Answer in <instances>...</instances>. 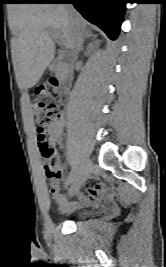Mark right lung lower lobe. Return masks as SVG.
Masks as SVG:
<instances>
[{
	"instance_id": "1",
	"label": "right lung lower lobe",
	"mask_w": 166,
	"mask_h": 267,
	"mask_svg": "<svg viewBox=\"0 0 166 267\" xmlns=\"http://www.w3.org/2000/svg\"><path fill=\"white\" fill-rule=\"evenodd\" d=\"M20 3H72L89 22L99 26L110 39L119 34L125 0H24Z\"/></svg>"
}]
</instances>
